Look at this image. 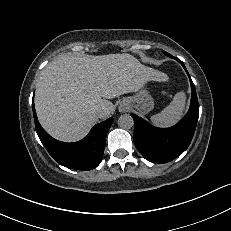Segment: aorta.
I'll list each match as a JSON object with an SVG mask.
<instances>
[{"label": "aorta", "instance_id": "obj_1", "mask_svg": "<svg viewBox=\"0 0 231 231\" xmlns=\"http://www.w3.org/2000/svg\"><path fill=\"white\" fill-rule=\"evenodd\" d=\"M118 125L123 129H130L134 126V120L129 114H124L119 117Z\"/></svg>", "mask_w": 231, "mask_h": 231}]
</instances>
